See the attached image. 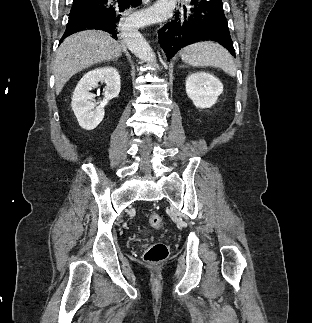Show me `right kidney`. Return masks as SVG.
<instances>
[{"label":"right kidney","mask_w":312,"mask_h":323,"mask_svg":"<svg viewBox=\"0 0 312 323\" xmlns=\"http://www.w3.org/2000/svg\"><path fill=\"white\" fill-rule=\"evenodd\" d=\"M106 84L104 88V100L99 102V106L92 102L94 94H91L97 84ZM120 76L116 68L104 66L96 68L84 74L78 82L72 96V110L78 120L79 126L84 130H94L104 118V108L109 100L117 98L120 92Z\"/></svg>","instance_id":"obj_1"}]
</instances>
